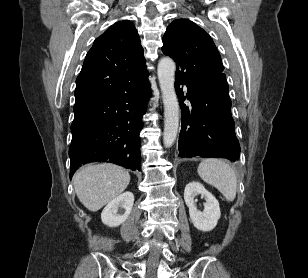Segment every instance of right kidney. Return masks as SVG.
<instances>
[{
  "mask_svg": "<svg viewBox=\"0 0 308 278\" xmlns=\"http://www.w3.org/2000/svg\"><path fill=\"white\" fill-rule=\"evenodd\" d=\"M134 203L133 193L127 191L113 199L101 213L102 222L109 227H117L124 223L131 213Z\"/></svg>",
  "mask_w": 308,
  "mask_h": 278,
  "instance_id": "right-kidney-1",
  "label": "right kidney"
}]
</instances>
